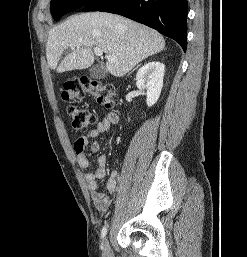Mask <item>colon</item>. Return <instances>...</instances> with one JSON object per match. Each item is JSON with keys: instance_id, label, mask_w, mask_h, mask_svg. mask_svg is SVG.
<instances>
[{"instance_id": "5ec220e1", "label": "colon", "mask_w": 247, "mask_h": 257, "mask_svg": "<svg viewBox=\"0 0 247 257\" xmlns=\"http://www.w3.org/2000/svg\"><path fill=\"white\" fill-rule=\"evenodd\" d=\"M86 96L92 97L98 104L105 108L114 105L113 87L109 84L88 78L69 80L64 84L62 98L67 102L79 103ZM67 114L73 128L77 131H86L96 121L93 112L80 108L74 104L67 107Z\"/></svg>"}]
</instances>
